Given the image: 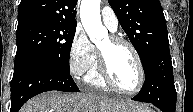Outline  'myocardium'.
<instances>
[{
    "instance_id": "obj_1",
    "label": "myocardium",
    "mask_w": 193,
    "mask_h": 112,
    "mask_svg": "<svg viewBox=\"0 0 193 112\" xmlns=\"http://www.w3.org/2000/svg\"><path fill=\"white\" fill-rule=\"evenodd\" d=\"M110 41L113 45H125L127 46L131 52L134 55L137 67H138V83L137 86L133 90H124L122 89L112 78L105 55L98 49V67L100 75L105 82L106 85H108L110 88L115 90L118 93L124 94V95H135L140 92L142 89L144 82H145V71L144 66L140 57L139 52L137 51L136 47L127 39L119 37V36H111Z\"/></svg>"
}]
</instances>
